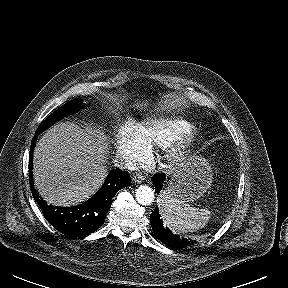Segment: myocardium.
Listing matches in <instances>:
<instances>
[{
    "instance_id": "obj_1",
    "label": "myocardium",
    "mask_w": 288,
    "mask_h": 288,
    "mask_svg": "<svg viewBox=\"0 0 288 288\" xmlns=\"http://www.w3.org/2000/svg\"><path fill=\"white\" fill-rule=\"evenodd\" d=\"M199 138L197 127L191 125L179 136L174 138L167 146L166 160L173 167H180L192 155L194 146Z\"/></svg>"
}]
</instances>
